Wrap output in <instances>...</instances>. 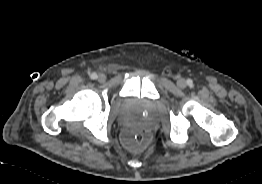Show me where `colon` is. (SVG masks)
Returning <instances> with one entry per match:
<instances>
[{
    "mask_svg": "<svg viewBox=\"0 0 262 184\" xmlns=\"http://www.w3.org/2000/svg\"><path fill=\"white\" fill-rule=\"evenodd\" d=\"M149 141V136L141 131H128L123 137V144L130 150H140L144 148Z\"/></svg>",
    "mask_w": 262,
    "mask_h": 184,
    "instance_id": "colon-1",
    "label": "colon"
}]
</instances>
